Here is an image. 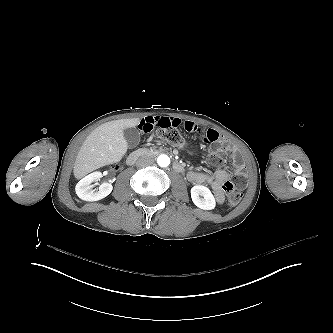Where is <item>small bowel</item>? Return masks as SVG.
<instances>
[{"label": "small bowel", "instance_id": "1", "mask_svg": "<svg viewBox=\"0 0 333 333\" xmlns=\"http://www.w3.org/2000/svg\"><path fill=\"white\" fill-rule=\"evenodd\" d=\"M181 124L180 119L178 118H168V117H147L141 120L140 127L144 132H148L155 127H178ZM184 126L187 130L192 131L196 129V125L192 121H185ZM206 136H208L209 141L217 140L218 142L211 145L210 150L214 154H218L222 152H230L233 150L234 145L230 141H222L223 135L217 133L213 129H209L206 131ZM222 141V142H221ZM234 172L237 174L239 169L236 167L237 163L241 162L243 156L241 153L236 152L232 156ZM209 162L213 166H217L220 164L221 159L217 155H213L210 157ZM243 165L240 168V171L243 172ZM187 178L189 181L194 183H202L206 184L210 187L213 192L214 198L217 203H223L225 199V184L230 181L229 174L225 170H217L214 173L211 172H197L190 171L187 174Z\"/></svg>", "mask_w": 333, "mask_h": 333}]
</instances>
